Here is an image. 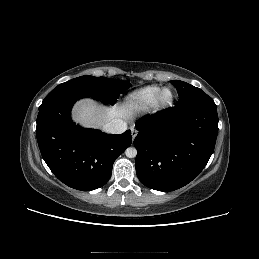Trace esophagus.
<instances>
[{
    "label": "esophagus",
    "instance_id": "obj_1",
    "mask_svg": "<svg viewBox=\"0 0 259 259\" xmlns=\"http://www.w3.org/2000/svg\"><path fill=\"white\" fill-rule=\"evenodd\" d=\"M137 134H138L137 129L131 128V136H132V139H133V140L135 139V137L137 136Z\"/></svg>",
    "mask_w": 259,
    "mask_h": 259
}]
</instances>
